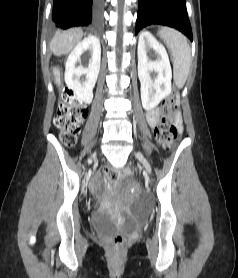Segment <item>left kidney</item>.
<instances>
[{
  "label": "left kidney",
  "instance_id": "1",
  "mask_svg": "<svg viewBox=\"0 0 238 278\" xmlns=\"http://www.w3.org/2000/svg\"><path fill=\"white\" fill-rule=\"evenodd\" d=\"M138 77L141 83V101L145 110L154 109L171 93L172 70L166 49L148 32L138 40ZM148 55H155L150 60ZM151 72L156 73L152 80Z\"/></svg>",
  "mask_w": 238,
  "mask_h": 278
}]
</instances>
